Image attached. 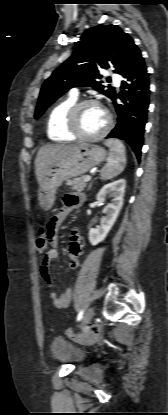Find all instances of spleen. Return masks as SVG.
<instances>
[{
  "label": "spleen",
  "mask_w": 168,
  "mask_h": 415,
  "mask_svg": "<svg viewBox=\"0 0 168 415\" xmlns=\"http://www.w3.org/2000/svg\"><path fill=\"white\" fill-rule=\"evenodd\" d=\"M104 144L109 147L107 164L102 168L100 177L109 180L119 175L126 165V150L124 144L118 139H108Z\"/></svg>",
  "instance_id": "spleen-1"
}]
</instances>
